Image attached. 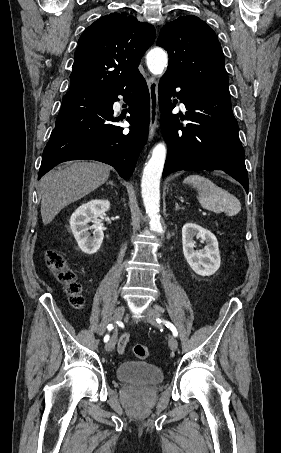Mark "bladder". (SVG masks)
Returning <instances> with one entry per match:
<instances>
[{
    "instance_id": "obj_1",
    "label": "bladder",
    "mask_w": 281,
    "mask_h": 453,
    "mask_svg": "<svg viewBox=\"0 0 281 453\" xmlns=\"http://www.w3.org/2000/svg\"><path fill=\"white\" fill-rule=\"evenodd\" d=\"M120 380L139 384H157L163 378V372L153 365L140 362H124L117 367Z\"/></svg>"
}]
</instances>
